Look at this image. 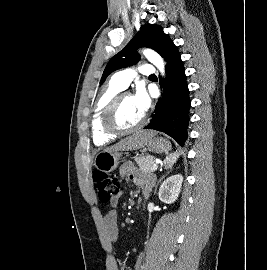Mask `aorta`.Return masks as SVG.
I'll return each instance as SVG.
<instances>
[{"mask_svg":"<svg viewBox=\"0 0 267 270\" xmlns=\"http://www.w3.org/2000/svg\"><path fill=\"white\" fill-rule=\"evenodd\" d=\"M143 55L160 71L162 75L165 74V63L163 58L151 49H144Z\"/></svg>","mask_w":267,"mask_h":270,"instance_id":"obj_1","label":"aorta"}]
</instances>
